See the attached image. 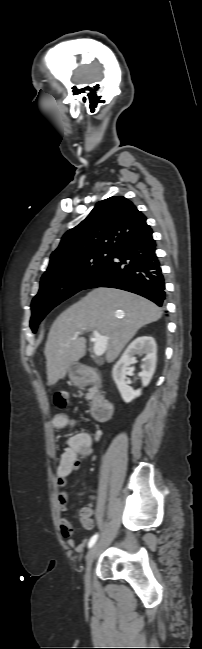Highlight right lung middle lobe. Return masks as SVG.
<instances>
[{
	"label": "right lung middle lobe",
	"mask_w": 202,
	"mask_h": 649,
	"mask_svg": "<svg viewBox=\"0 0 202 649\" xmlns=\"http://www.w3.org/2000/svg\"><path fill=\"white\" fill-rule=\"evenodd\" d=\"M113 252L93 251L66 262L59 270L42 276L38 294L33 298L30 327L36 332L38 324L55 306L84 286L112 258Z\"/></svg>",
	"instance_id": "1"
}]
</instances>
